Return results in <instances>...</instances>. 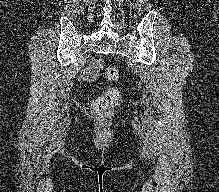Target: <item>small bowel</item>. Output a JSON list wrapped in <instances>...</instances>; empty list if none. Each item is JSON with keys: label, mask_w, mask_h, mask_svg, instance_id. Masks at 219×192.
Masks as SVG:
<instances>
[{"label": "small bowel", "mask_w": 219, "mask_h": 192, "mask_svg": "<svg viewBox=\"0 0 219 192\" xmlns=\"http://www.w3.org/2000/svg\"><path fill=\"white\" fill-rule=\"evenodd\" d=\"M102 68V61L100 59L92 61L82 72V78L87 81H96Z\"/></svg>", "instance_id": "obj_1"}]
</instances>
